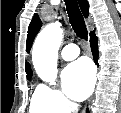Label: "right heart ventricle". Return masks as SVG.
<instances>
[{
  "label": "right heart ventricle",
  "mask_w": 121,
  "mask_h": 113,
  "mask_svg": "<svg viewBox=\"0 0 121 113\" xmlns=\"http://www.w3.org/2000/svg\"><path fill=\"white\" fill-rule=\"evenodd\" d=\"M28 110L29 113H52V109L42 98L39 87L31 95Z\"/></svg>",
  "instance_id": "e07e8e85"
}]
</instances>
